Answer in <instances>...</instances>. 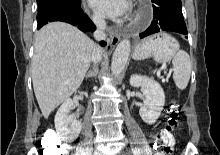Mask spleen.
Instances as JSON below:
<instances>
[{
	"label": "spleen",
	"mask_w": 220,
	"mask_h": 155,
	"mask_svg": "<svg viewBox=\"0 0 220 155\" xmlns=\"http://www.w3.org/2000/svg\"><path fill=\"white\" fill-rule=\"evenodd\" d=\"M173 65V80L178 89L184 90L190 80L191 61L188 53L180 50L176 53L172 60Z\"/></svg>",
	"instance_id": "3e777b00"
}]
</instances>
